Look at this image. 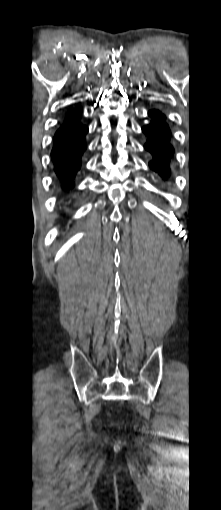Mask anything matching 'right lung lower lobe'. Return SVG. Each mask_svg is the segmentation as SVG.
Listing matches in <instances>:
<instances>
[{"mask_svg":"<svg viewBox=\"0 0 221 510\" xmlns=\"http://www.w3.org/2000/svg\"><path fill=\"white\" fill-rule=\"evenodd\" d=\"M87 132L88 128L78 123L64 132H56L53 138L51 157L63 189L73 187V179L80 169L81 155L86 149L84 137Z\"/></svg>","mask_w":221,"mask_h":510,"instance_id":"obj_1","label":"right lung lower lobe"}]
</instances>
